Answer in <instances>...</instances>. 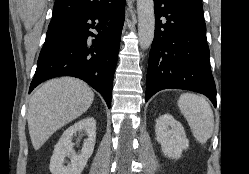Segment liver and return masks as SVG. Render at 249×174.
I'll return each mask as SVG.
<instances>
[{"instance_id": "liver-1", "label": "liver", "mask_w": 249, "mask_h": 174, "mask_svg": "<svg viewBox=\"0 0 249 174\" xmlns=\"http://www.w3.org/2000/svg\"><path fill=\"white\" fill-rule=\"evenodd\" d=\"M94 99L92 89L73 77L45 82L32 95L27 112L32 145L38 150L58 129L81 116Z\"/></svg>"}]
</instances>
